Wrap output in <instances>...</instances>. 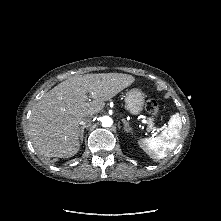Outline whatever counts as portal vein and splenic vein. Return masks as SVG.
Here are the masks:
<instances>
[{"instance_id": "1", "label": "portal vein and splenic vein", "mask_w": 221, "mask_h": 221, "mask_svg": "<svg viewBox=\"0 0 221 221\" xmlns=\"http://www.w3.org/2000/svg\"><path fill=\"white\" fill-rule=\"evenodd\" d=\"M143 122H145V121H143ZM151 128H149L148 130H150ZM160 129H158V128H154L153 129V131H152V133H153V135H155L156 133H155V131H159Z\"/></svg>"}]
</instances>
